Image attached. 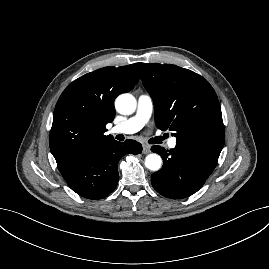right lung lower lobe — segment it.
Here are the masks:
<instances>
[{
  "label": "right lung lower lobe",
  "mask_w": 269,
  "mask_h": 269,
  "mask_svg": "<svg viewBox=\"0 0 269 269\" xmlns=\"http://www.w3.org/2000/svg\"><path fill=\"white\" fill-rule=\"evenodd\" d=\"M142 145L134 140H109L62 162L58 169L69 187L80 196L102 199L113 192L119 180L117 165L127 153L139 154Z\"/></svg>",
  "instance_id": "obj_1"
}]
</instances>
